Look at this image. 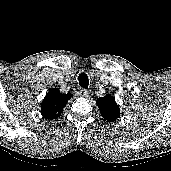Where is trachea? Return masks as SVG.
I'll return each instance as SVG.
<instances>
[{"instance_id":"1","label":"trachea","mask_w":171,"mask_h":171,"mask_svg":"<svg viewBox=\"0 0 171 171\" xmlns=\"http://www.w3.org/2000/svg\"><path fill=\"white\" fill-rule=\"evenodd\" d=\"M78 81H79V85L84 88L87 89L89 86V79L86 73H80L78 76Z\"/></svg>"}]
</instances>
